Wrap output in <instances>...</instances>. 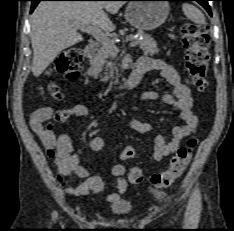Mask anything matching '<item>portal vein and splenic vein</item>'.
<instances>
[{
  "label": "portal vein and splenic vein",
  "mask_w": 234,
  "mask_h": 231,
  "mask_svg": "<svg viewBox=\"0 0 234 231\" xmlns=\"http://www.w3.org/2000/svg\"><path fill=\"white\" fill-rule=\"evenodd\" d=\"M76 27L79 28L81 31L86 32L92 35L98 42L102 44V46L106 48H112L116 51H119L117 47H115L114 42L111 41L106 33H104L101 29L96 26L89 25V24H76ZM129 45L131 47H136L138 43L132 40Z\"/></svg>",
  "instance_id": "obj_1"
}]
</instances>
